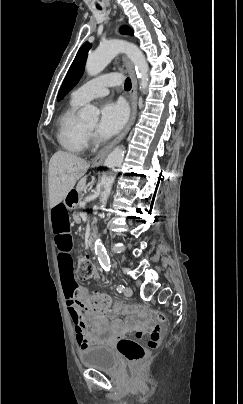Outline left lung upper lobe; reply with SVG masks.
Segmentation results:
<instances>
[{
  "label": "left lung upper lobe",
  "instance_id": "5c2ea615",
  "mask_svg": "<svg viewBox=\"0 0 243 404\" xmlns=\"http://www.w3.org/2000/svg\"><path fill=\"white\" fill-rule=\"evenodd\" d=\"M123 33H131L132 30L125 26L122 28ZM91 44L86 42L79 49L70 69L61 85L58 93L57 101H60L79 81L83 74L84 65L87 59L88 51Z\"/></svg>",
  "mask_w": 243,
  "mask_h": 404
}]
</instances>
